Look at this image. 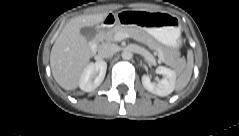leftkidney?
Listing matches in <instances>:
<instances>
[{
    "label": "left kidney",
    "instance_id": "obj_1",
    "mask_svg": "<svg viewBox=\"0 0 239 136\" xmlns=\"http://www.w3.org/2000/svg\"><path fill=\"white\" fill-rule=\"evenodd\" d=\"M156 71L163 75L161 80L157 83H152L148 75H143L142 84L147 91L153 94L161 97L167 96L175 89L177 74L174 70L164 66H158Z\"/></svg>",
    "mask_w": 239,
    "mask_h": 136
}]
</instances>
